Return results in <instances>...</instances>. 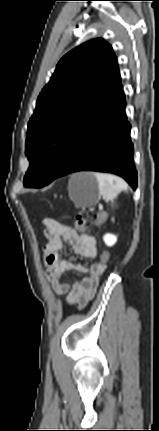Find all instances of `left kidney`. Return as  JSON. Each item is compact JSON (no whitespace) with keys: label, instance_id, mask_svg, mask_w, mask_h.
<instances>
[{"label":"left kidney","instance_id":"1","mask_svg":"<svg viewBox=\"0 0 159 431\" xmlns=\"http://www.w3.org/2000/svg\"><path fill=\"white\" fill-rule=\"evenodd\" d=\"M103 240L107 246H113L117 241V237L113 234H106L104 235Z\"/></svg>","mask_w":159,"mask_h":431}]
</instances>
